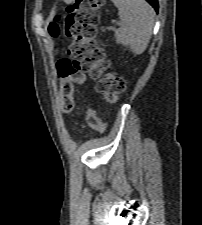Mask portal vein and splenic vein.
<instances>
[{"label":"portal vein and splenic vein","mask_w":202,"mask_h":225,"mask_svg":"<svg viewBox=\"0 0 202 225\" xmlns=\"http://www.w3.org/2000/svg\"><path fill=\"white\" fill-rule=\"evenodd\" d=\"M110 30H114V28H113V27H111V28H110Z\"/></svg>","instance_id":"1"}]
</instances>
